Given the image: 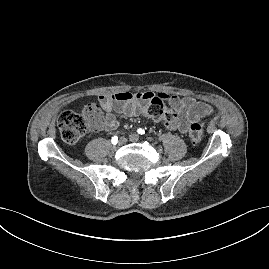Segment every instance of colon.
Wrapping results in <instances>:
<instances>
[{
  "mask_svg": "<svg viewBox=\"0 0 269 269\" xmlns=\"http://www.w3.org/2000/svg\"><path fill=\"white\" fill-rule=\"evenodd\" d=\"M142 115L153 120L171 119L173 110L160 96H154L142 111ZM100 122V111L96 105L86 106L81 113L66 110L59 114L57 124L61 138L68 143L77 142L88 130L96 129ZM203 126L194 122L189 128V138L194 144L203 139Z\"/></svg>",
  "mask_w": 269,
  "mask_h": 269,
  "instance_id": "5ec220e1",
  "label": "colon"
}]
</instances>
